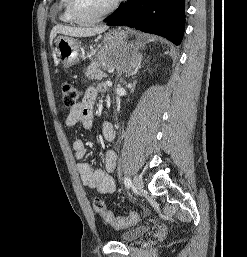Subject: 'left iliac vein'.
<instances>
[{"instance_id": "left-iliac-vein-1", "label": "left iliac vein", "mask_w": 247, "mask_h": 257, "mask_svg": "<svg viewBox=\"0 0 247 257\" xmlns=\"http://www.w3.org/2000/svg\"><path fill=\"white\" fill-rule=\"evenodd\" d=\"M142 179L139 176H135L133 178V185L136 190H140L142 188Z\"/></svg>"}]
</instances>
